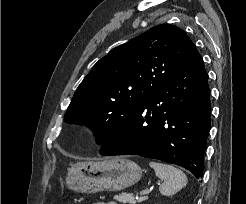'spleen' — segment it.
<instances>
[{
    "mask_svg": "<svg viewBox=\"0 0 246 204\" xmlns=\"http://www.w3.org/2000/svg\"><path fill=\"white\" fill-rule=\"evenodd\" d=\"M150 167H152L163 183L159 187V191L162 195L170 196L182 189L187 184V177L177 167L161 163L150 161Z\"/></svg>",
    "mask_w": 246,
    "mask_h": 204,
    "instance_id": "3e777b00",
    "label": "spleen"
}]
</instances>
